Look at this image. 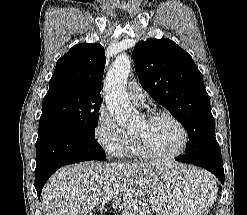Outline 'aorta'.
Masks as SVG:
<instances>
[{
  "label": "aorta",
  "mask_w": 247,
  "mask_h": 215,
  "mask_svg": "<svg viewBox=\"0 0 247 215\" xmlns=\"http://www.w3.org/2000/svg\"><path fill=\"white\" fill-rule=\"evenodd\" d=\"M130 69L131 59L126 54H122L115 59L104 81L108 111L124 128L135 125L139 117L138 111L129 101L126 90Z\"/></svg>",
  "instance_id": "aorta-1"
}]
</instances>
